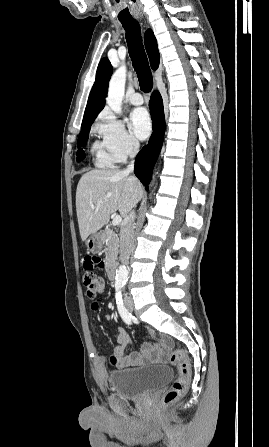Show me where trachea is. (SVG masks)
Instances as JSON below:
<instances>
[{
	"mask_svg": "<svg viewBox=\"0 0 269 447\" xmlns=\"http://www.w3.org/2000/svg\"><path fill=\"white\" fill-rule=\"evenodd\" d=\"M121 23L126 31L125 35L128 50L133 67L138 76L140 89L143 92H150L153 87V79L147 56L143 48L139 23L136 22V20Z\"/></svg>",
	"mask_w": 269,
	"mask_h": 447,
	"instance_id": "3493384b",
	"label": "trachea"
}]
</instances>
